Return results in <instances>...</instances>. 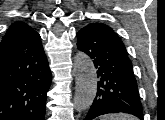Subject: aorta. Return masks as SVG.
I'll use <instances>...</instances> for the list:
<instances>
[{"mask_svg":"<svg viewBox=\"0 0 165 120\" xmlns=\"http://www.w3.org/2000/svg\"><path fill=\"white\" fill-rule=\"evenodd\" d=\"M74 73L76 79L74 106L77 111L91 106L97 92V73L90 57L78 52L74 57Z\"/></svg>","mask_w":165,"mask_h":120,"instance_id":"obj_1","label":"aorta"}]
</instances>
